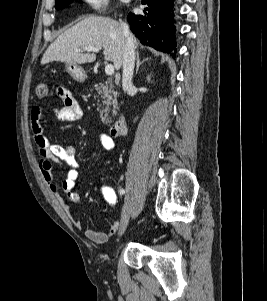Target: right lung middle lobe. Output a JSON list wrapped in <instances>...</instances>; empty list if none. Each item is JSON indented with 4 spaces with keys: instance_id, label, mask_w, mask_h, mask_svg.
<instances>
[{
    "instance_id": "obj_1",
    "label": "right lung middle lobe",
    "mask_w": 267,
    "mask_h": 301,
    "mask_svg": "<svg viewBox=\"0 0 267 301\" xmlns=\"http://www.w3.org/2000/svg\"><path fill=\"white\" fill-rule=\"evenodd\" d=\"M74 0H56L55 8L56 9H63L72 3Z\"/></svg>"
}]
</instances>
